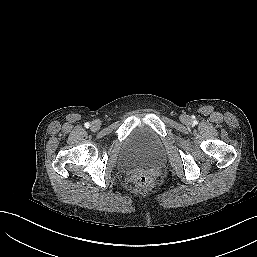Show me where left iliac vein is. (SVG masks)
I'll use <instances>...</instances> for the list:
<instances>
[{"label":"left iliac vein","mask_w":257,"mask_h":257,"mask_svg":"<svg viewBox=\"0 0 257 257\" xmlns=\"http://www.w3.org/2000/svg\"><path fill=\"white\" fill-rule=\"evenodd\" d=\"M182 122H183L184 124H189V123H190V118H189L188 116H183Z\"/></svg>","instance_id":"4c4485c4"}]
</instances>
